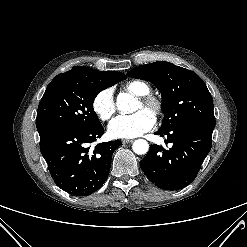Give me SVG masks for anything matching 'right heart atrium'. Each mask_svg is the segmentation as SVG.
<instances>
[{
    "instance_id": "d8ad5b80",
    "label": "right heart atrium",
    "mask_w": 247,
    "mask_h": 247,
    "mask_svg": "<svg viewBox=\"0 0 247 247\" xmlns=\"http://www.w3.org/2000/svg\"><path fill=\"white\" fill-rule=\"evenodd\" d=\"M92 109L101 121H109L116 112L113 89L107 87L98 91L93 98Z\"/></svg>"
}]
</instances>
